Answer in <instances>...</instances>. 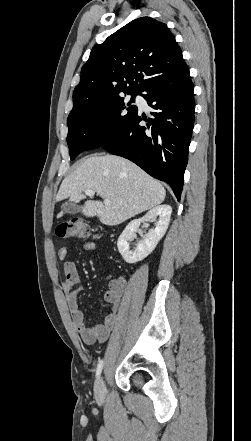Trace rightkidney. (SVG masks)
<instances>
[{
    "mask_svg": "<svg viewBox=\"0 0 251 441\" xmlns=\"http://www.w3.org/2000/svg\"><path fill=\"white\" fill-rule=\"evenodd\" d=\"M172 208L169 205H159L148 211L142 218L131 221L123 230L117 241L119 253L127 263H136L146 258L157 246L169 226ZM158 217L157 225L150 229L143 240H140L134 250L129 244L135 238V233L142 222H148Z\"/></svg>",
    "mask_w": 251,
    "mask_h": 441,
    "instance_id": "obj_1",
    "label": "right kidney"
}]
</instances>
